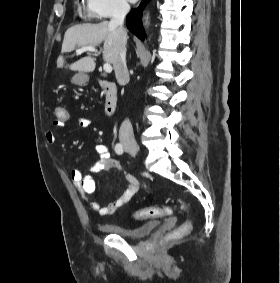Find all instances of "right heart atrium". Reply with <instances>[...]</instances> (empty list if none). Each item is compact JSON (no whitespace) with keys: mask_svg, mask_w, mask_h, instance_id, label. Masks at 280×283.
Here are the masks:
<instances>
[{"mask_svg":"<svg viewBox=\"0 0 280 283\" xmlns=\"http://www.w3.org/2000/svg\"><path fill=\"white\" fill-rule=\"evenodd\" d=\"M85 10L88 16L105 20L125 15L129 11V4L127 0H85Z\"/></svg>","mask_w":280,"mask_h":283,"instance_id":"1","label":"right heart atrium"}]
</instances>
